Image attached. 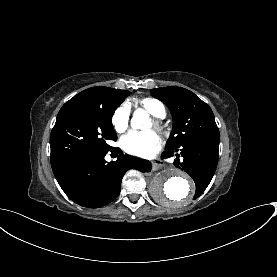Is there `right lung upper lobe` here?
I'll return each instance as SVG.
<instances>
[{
    "label": "right lung upper lobe",
    "instance_id": "obj_1",
    "mask_svg": "<svg viewBox=\"0 0 277 277\" xmlns=\"http://www.w3.org/2000/svg\"><path fill=\"white\" fill-rule=\"evenodd\" d=\"M122 91L124 90L98 86L86 89L77 94L76 97H86L101 101L103 103L113 104L117 102Z\"/></svg>",
    "mask_w": 277,
    "mask_h": 277
}]
</instances>
